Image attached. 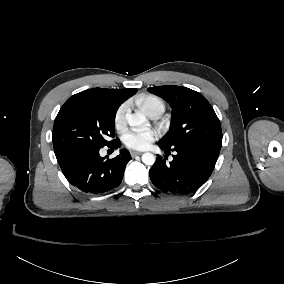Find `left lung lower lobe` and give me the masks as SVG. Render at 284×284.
I'll use <instances>...</instances> for the list:
<instances>
[{"label": "left lung lower lobe", "mask_w": 284, "mask_h": 284, "mask_svg": "<svg viewBox=\"0 0 284 284\" xmlns=\"http://www.w3.org/2000/svg\"><path fill=\"white\" fill-rule=\"evenodd\" d=\"M161 149L175 151L173 160L166 163L157 156L149 170L152 183L164 192L188 194L199 188L211 175L219 150L202 144H176L168 146L159 141Z\"/></svg>", "instance_id": "left-lung-lower-lobe-1"}]
</instances>
